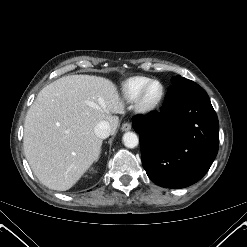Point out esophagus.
Instances as JSON below:
<instances>
[{"label":"esophagus","mask_w":247,"mask_h":247,"mask_svg":"<svg viewBox=\"0 0 247 247\" xmlns=\"http://www.w3.org/2000/svg\"><path fill=\"white\" fill-rule=\"evenodd\" d=\"M121 129L122 131H129L131 130V124L129 122L123 123Z\"/></svg>","instance_id":"1"}]
</instances>
